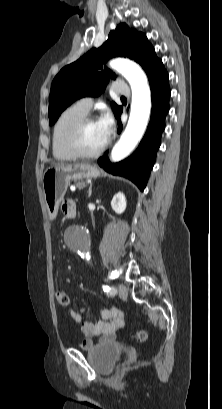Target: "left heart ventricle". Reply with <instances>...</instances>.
Listing matches in <instances>:
<instances>
[{
  "label": "left heart ventricle",
  "mask_w": 222,
  "mask_h": 409,
  "mask_svg": "<svg viewBox=\"0 0 222 409\" xmlns=\"http://www.w3.org/2000/svg\"><path fill=\"white\" fill-rule=\"evenodd\" d=\"M105 141L98 123H89L81 136V145L87 152H95L104 145Z\"/></svg>",
  "instance_id": "1"
}]
</instances>
